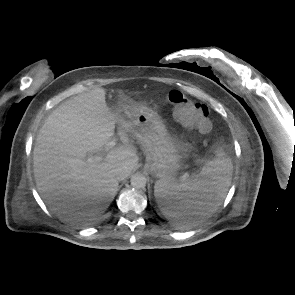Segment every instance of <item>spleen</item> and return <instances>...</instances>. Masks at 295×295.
<instances>
[{
  "label": "spleen",
  "instance_id": "obj_1",
  "mask_svg": "<svg viewBox=\"0 0 295 295\" xmlns=\"http://www.w3.org/2000/svg\"><path fill=\"white\" fill-rule=\"evenodd\" d=\"M232 170L231 160L219 149L216 157L208 161L199 174L179 181L172 178L157 180L154 193L158 204L167 208L163 214L183 227L199 223L208 214L192 211L221 201L231 182Z\"/></svg>",
  "mask_w": 295,
  "mask_h": 295
}]
</instances>
